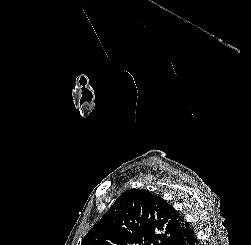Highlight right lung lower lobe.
I'll return each mask as SVG.
<instances>
[{
	"label": "right lung lower lobe",
	"mask_w": 251,
	"mask_h": 245,
	"mask_svg": "<svg viewBox=\"0 0 251 245\" xmlns=\"http://www.w3.org/2000/svg\"><path fill=\"white\" fill-rule=\"evenodd\" d=\"M167 245H198V241L194 231L189 227L181 236L171 240Z\"/></svg>",
	"instance_id": "98d812e1"
}]
</instances>
